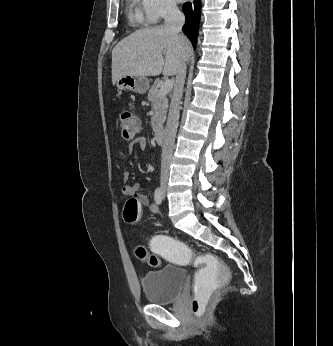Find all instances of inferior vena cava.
I'll use <instances>...</instances> for the list:
<instances>
[{"label":"inferior vena cava","instance_id":"1","mask_svg":"<svg viewBox=\"0 0 333 346\" xmlns=\"http://www.w3.org/2000/svg\"><path fill=\"white\" fill-rule=\"evenodd\" d=\"M164 23L167 29L174 32L181 39L180 45L183 48V35L180 34L182 26L185 23L183 13L173 4L167 5ZM186 77V61L182 60L177 74L172 94L167 124L164 131V140L162 146L161 158V177H168L170 164L173 155L174 143L179 120V107L183 93V87Z\"/></svg>","mask_w":333,"mask_h":346}]
</instances>
